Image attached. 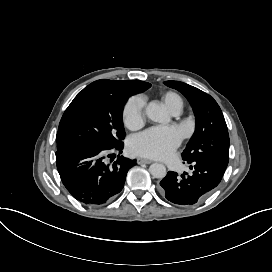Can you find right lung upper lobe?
<instances>
[{"label":"right lung upper lobe","instance_id":"obj_1","mask_svg":"<svg viewBox=\"0 0 272 272\" xmlns=\"http://www.w3.org/2000/svg\"><path fill=\"white\" fill-rule=\"evenodd\" d=\"M136 80H106L101 79L89 84L88 87L94 88H127L132 86Z\"/></svg>","mask_w":272,"mask_h":272}]
</instances>
